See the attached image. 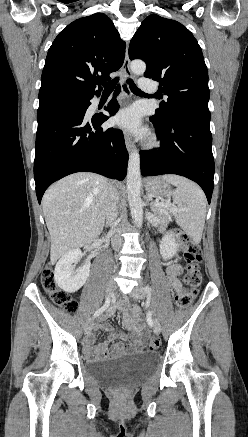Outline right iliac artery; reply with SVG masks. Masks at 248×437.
Wrapping results in <instances>:
<instances>
[{
  "mask_svg": "<svg viewBox=\"0 0 248 437\" xmlns=\"http://www.w3.org/2000/svg\"><path fill=\"white\" fill-rule=\"evenodd\" d=\"M109 304H110V298L108 296L106 298L104 305L94 313V318L98 317L101 313H103L108 308Z\"/></svg>",
  "mask_w": 248,
  "mask_h": 437,
  "instance_id": "obj_1",
  "label": "right iliac artery"
}]
</instances>
